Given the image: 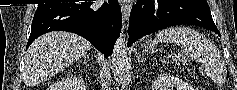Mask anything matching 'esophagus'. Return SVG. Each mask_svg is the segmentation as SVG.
I'll use <instances>...</instances> for the list:
<instances>
[{
	"label": "esophagus",
	"mask_w": 237,
	"mask_h": 90,
	"mask_svg": "<svg viewBox=\"0 0 237 90\" xmlns=\"http://www.w3.org/2000/svg\"><path fill=\"white\" fill-rule=\"evenodd\" d=\"M132 8V3L131 2H122L121 3V10H122V19L123 22L126 23L128 21L130 12Z\"/></svg>",
	"instance_id": "esophagus-1"
}]
</instances>
